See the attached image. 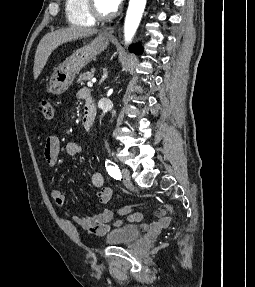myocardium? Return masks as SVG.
<instances>
[{"label":"myocardium","mask_w":255,"mask_h":287,"mask_svg":"<svg viewBox=\"0 0 255 287\" xmlns=\"http://www.w3.org/2000/svg\"><path fill=\"white\" fill-rule=\"evenodd\" d=\"M96 33H122V32H96ZM96 39H115V38H96ZM130 39V38H124ZM95 48H113V47H95ZM129 48H138V47H129Z\"/></svg>","instance_id":"f54148a6"}]
</instances>
